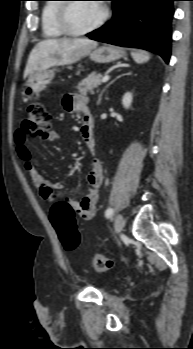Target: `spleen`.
<instances>
[{
  "mask_svg": "<svg viewBox=\"0 0 193 349\" xmlns=\"http://www.w3.org/2000/svg\"><path fill=\"white\" fill-rule=\"evenodd\" d=\"M132 56L138 64L145 63L150 59L149 53H147L145 51L133 52Z\"/></svg>",
  "mask_w": 193,
  "mask_h": 349,
  "instance_id": "1",
  "label": "spleen"
}]
</instances>
